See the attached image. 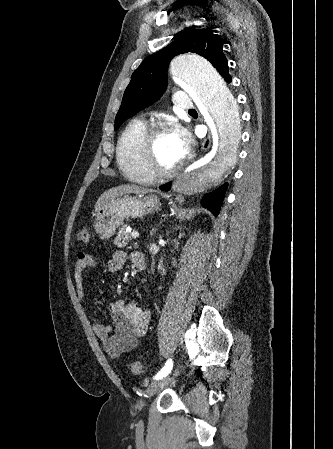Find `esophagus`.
Instances as JSON below:
<instances>
[{"mask_svg":"<svg viewBox=\"0 0 333 449\" xmlns=\"http://www.w3.org/2000/svg\"><path fill=\"white\" fill-rule=\"evenodd\" d=\"M209 145H210V137H208V138L205 140V142H204V144H203V149L205 150V149H206V146L209 147Z\"/></svg>","mask_w":333,"mask_h":449,"instance_id":"esophagus-1","label":"esophagus"}]
</instances>
